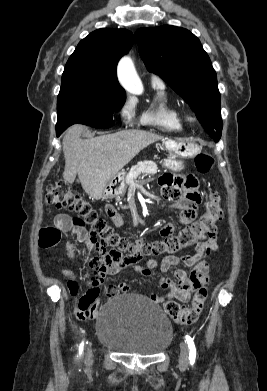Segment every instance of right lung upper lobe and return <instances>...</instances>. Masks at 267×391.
<instances>
[{
	"mask_svg": "<svg viewBox=\"0 0 267 391\" xmlns=\"http://www.w3.org/2000/svg\"><path fill=\"white\" fill-rule=\"evenodd\" d=\"M133 41V34L125 29L104 28L90 33L68 59L62 79L93 77L122 88L117 80L116 67Z\"/></svg>",
	"mask_w": 267,
	"mask_h": 391,
	"instance_id": "cb5924a9",
	"label": "right lung upper lobe"
}]
</instances>
